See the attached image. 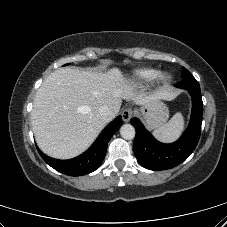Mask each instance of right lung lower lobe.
Returning a JSON list of instances; mask_svg holds the SVG:
<instances>
[{
  "label": "right lung lower lobe",
  "mask_w": 227,
  "mask_h": 227,
  "mask_svg": "<svg viewBox=\"0 0 227 227\" xmlns=\"http://www.w3.org/2000/svg\"><path fill=\"white\" fill-rule=\"evenodd\" d=\"M122 124V117L118 116L100 133L93 145L83 154L70 160H57L43 154L37 150L43 160L55 170L69 175L81 176L95 171L105 157L107 144L114 133Z\"/></svg>",
  "instance_id": "1"
}]
</instances>
